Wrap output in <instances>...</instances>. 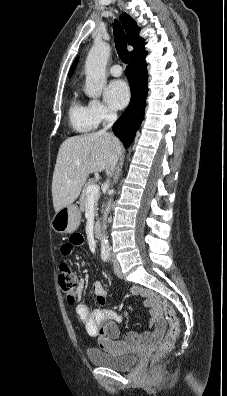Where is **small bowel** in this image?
<instances>
[{
	"mask_svg": "<svg viewBox=\"0 0 227 396\" xmlns=\"http://www.w3.org/2000/svg\"><path fill=\"white\" fill-rule=\"evenodd\" d=\"M83 243L81 234H73L70 240L63 244L61 252L64 256L72 254L74 249ZM85 289L83 280L78 282L77 299L80 300ZM93 291L99 304L104 305L107 298V290L102 282L93 283ZM131 294L144 298V304L149 309L151 331L144 333L128 332L124 341L118 340L119 329L116 322L119 321L120 315L113 309H95L91 311L86 304L79 303L75 312L77 317L85 324L88 335L98 339L99 346L105 351H116L125 345H155L164 335L165 323L161 317L159 307L153 299V293L150 290L143 289L139 286H132Z\"/></svg>",
	"mask_w": 227,
	"mask_h": 396,
	"instance_id": "1",
	"label": "small bowel"
}]
</instances>
